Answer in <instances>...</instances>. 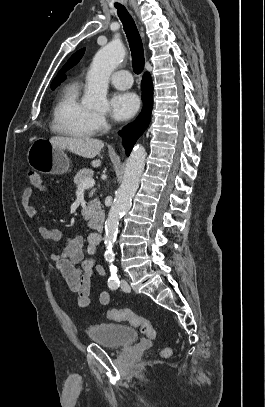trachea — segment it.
<instances>
[{"instance_id":"obj_1","label":"trachea","mask_w":265,"mask_h":407,"mask_svg":"<svg viewBox=\"0 0 265 407\" xmlns=\"http://www.w3.org/2000/svg\"><path fill=\"white\" fill-rule=\"evenodd\" d=\"M118 16L124 26V31L126 33L132 55L133 71L136 74H140L144 69V50L143 44L135 25V22L131 15L128 13L125 7L118 6Z\"/></svg>"}]
</instances>
